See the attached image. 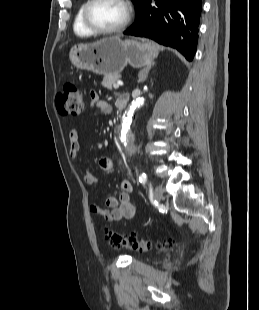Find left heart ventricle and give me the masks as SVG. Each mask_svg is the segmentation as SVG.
<instances>
[{"instance_id": "b2bd125f", "label": "left heart ventricle", "mask_w": 259, "mask_h": 310, "mask_svg": "<svg viewBox=\"0 0 259 310\" xmlns=\"http://www.w3.org/2000/svg\"><path fill=\"white\" fill-rule=\"evenodd\" d=\"M125 15V7L119 0H99L90 11L92 22L101 28H114L120 25Z\"/></svg>"}]
</instances>
